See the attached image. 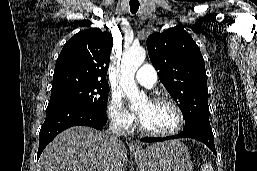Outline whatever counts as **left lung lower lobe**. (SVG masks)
Returning <instances> with one entry per match:
<instances>
[{
  "label": "left lung lower lobe",
  "instance_id": "1",
  "mask_svg": "<svg viewBox=\"0 0 257 171\" xmlns=\"http://www.w3.org/2000/svg\"><path fill=\"white\" fill-rule=\"evenodd\" d=\"M178 138H192L198 141L203 142L216 156L217 152L214 145V136L211 128L203 127V126H193L190 128L184 129L181 133L164 137V138H142V142H161L171 139Z\"/></svg>",
  "mask_w": 257,
  "mask_h": 171
}]
</instances>
